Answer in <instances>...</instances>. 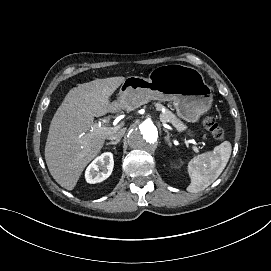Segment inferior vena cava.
<instances>
[{
  "label": "inferior vena cava",
  "instance_id": "602c4592",
  "mask_svg": "<svg viewBox=\"0 0 271 271\" xmlns=\"http://www.w3.org/2000/svg\"><path fill=\"white\" fill-rule=\"evenodd\" d=\"M124 134V130H120V131H114L113 133H110L108 136H107V139L109 140H115V142H119L121 137L123 136Z\"/></svg>",
  "mask_w": 271,
  "mask_h": 271
}]
</instances>
